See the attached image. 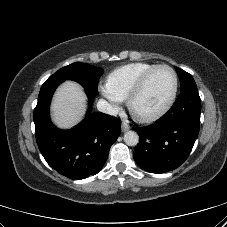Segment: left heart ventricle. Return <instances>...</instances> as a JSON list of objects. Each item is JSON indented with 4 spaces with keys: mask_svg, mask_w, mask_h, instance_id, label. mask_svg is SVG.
Listing matches in <instances>:
<instances>
[{
    "mask_svg": "<svg viewBox=\"0 0 227 227\" xmlns=\"http://www.w3.org/2000/svg\"><path fill=\"white\" fill-rule=\"evenodd\" d=\"M173 86V73L167 68L157 70L136 98L135 111L141 115H149L158 111L169 99Z\"/></svg>",
    "mask_w": 227,
    "mask_h": 227,
    "instance_id": "obj_1",
    "label": "left heart ventricle"
}]
</instances>
